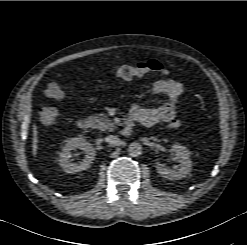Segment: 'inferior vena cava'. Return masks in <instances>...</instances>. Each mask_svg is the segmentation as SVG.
Returning <instances> with one entry per match:
<instances>
[{
  "mask_svg": "<svg viewBox=\"0 0 247 245\" xmlns=\"http://www.w3.org/2000/svg\"><path fill=\"white\" fill-rule=\"evenodd\" d=\"M105 141L110 143V144H116L119 141V138L117 136H114V135H108L105 138Z\"/></svg>",
  "mask_w": 247,
  "mask_h": 245,
  "instance_id": "602c4592",
  "label": "inferior vena cava"
}]
</instances>
